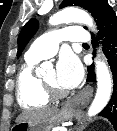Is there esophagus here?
<instances>
[{
  "instance_id": "obj_1",
  "label": "esophagus",
  "mask_w": 117,
  "mask_h": 131,
  "mask_svg": "<svg viewBox=\"0 0 117 131\" xmlns=\"http://www.w3.org/2000/svg\"><path fill=\"white\" fill-rule=\"evenodd\" d=\"M91 93H92V90H91L90 87H86V88L84 89V91H83V94H84L85 96H89V95H91Z\"/></svg>"
}]
</instances>
